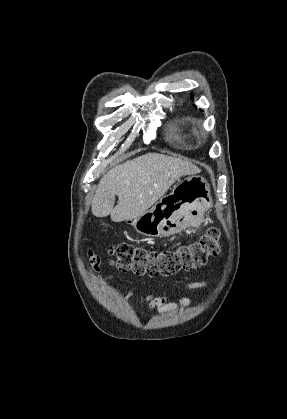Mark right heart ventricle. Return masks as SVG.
<instances>
[{
	"instance_id": "right-heart-ventricle-1",
	"label": "right heart ventricle",
	"mask_w": 287,
	"mask_h": 419,
	"mask_svg": "<svg viewBox=\"0 0 287 419\" xmlns=\"http://www.w3.org/2000/svg\"><path fill=\"white\" fill-rule=\"evenodd\" d=\"M173 135L175 138L180 140L190 139L192 137V132L188 128H178L176 126L173 127Z\"/></svg>"
}]
</instances>
